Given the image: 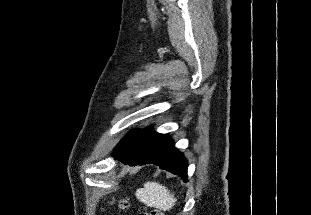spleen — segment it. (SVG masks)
I'll use <instances>...</instances> for the list:
<instances>
[{
	"label": "spleen",
	"mask_w": 311,
	"mask_h": 215,
	"mask_svg": "<svg viewBox=\"0 0 311 215\" xmlns=\"http://www.w3.org/2000/svg\"><path fill=\"white\" fill-rule=\"evenodd\" d=\"M136 197L147 206L163 211L170 210L177 201L174 194L157 182H146L144 188L136 191Z\"/></svg>",
	"instance_id": "spleen-1"
}]
</instances>
